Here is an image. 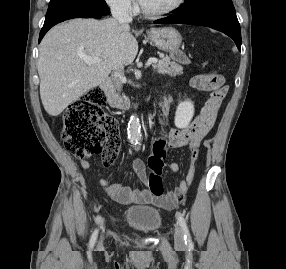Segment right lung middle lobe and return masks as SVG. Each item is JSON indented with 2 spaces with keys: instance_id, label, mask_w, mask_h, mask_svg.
<instances>
[{
  "instance_id": "dd1d6c3e",
  "label": "right lung middle lobe",
  "mask_w": 286,
  "mask_h": 269,
  "mask_svg": "<svg viewBox=\"0 0 286 269\" xmlns=\"http://www.w3.org/2000/svg\"><path fill=\"white\" fill-rule=\"evenodd\" d=\"M78 12L107 15L110 10L104 0H51L45 22Z\"/></svg>"
}]
</instances>
